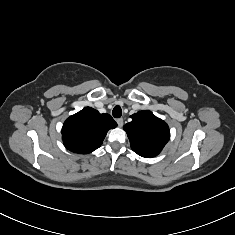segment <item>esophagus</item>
<instances>
[{"label":"esophagus","instance_id":"34e87169","mask_svg":"<svg viewBox=\"0 0 235 235\" xmlns=\"http://www.w3.org/2000/svg\"><path fill=\"white\" fill-rule=\"evenodd\" d=\"M116 122H117V124H118V126H119V127H122V126H123V124H124V122H123V119H122V118L117 119V120H116Z\"/></svg>","mask_w":235,"mask_h":235}]
</instances>
